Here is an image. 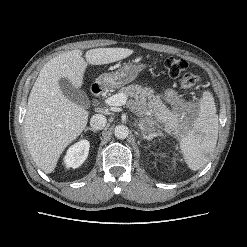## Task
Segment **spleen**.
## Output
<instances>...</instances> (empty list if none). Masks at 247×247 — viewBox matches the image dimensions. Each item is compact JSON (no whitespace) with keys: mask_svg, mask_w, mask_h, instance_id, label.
<instances>
[{"mask_svg":"<svg viewBox=\"0 0 247 247\" xmlns=\"http://www.w3.org/2000/svg\"><path fill=\"white\" fill-rule=\"evenodd\" d=\"M198 117L180 141V147L191 170L205 166L218 139V115L213 96L205 92L200 100Z\"/></svg>","mask_w":247,"mask_h":247,"instance_id":"spleen-1","label":"spleen"}]
</instances>
